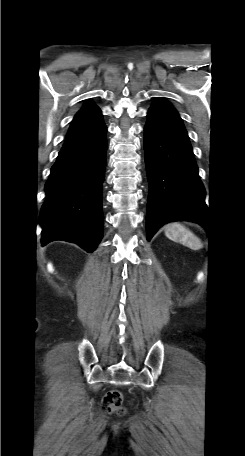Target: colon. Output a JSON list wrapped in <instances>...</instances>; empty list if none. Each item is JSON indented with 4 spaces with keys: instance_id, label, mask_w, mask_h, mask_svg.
Listing matches in <instances>:
<instances>
[{
    "instance_id": "5ec220e1",
    "label": "colon",
    "mask_w": 245,
    "mask_h": 456,
    "mask_svg": "<svg viewBox=\"0 0 245 456\" xmlns=\"http://www.w3.org/2000/svg\"><path fill=\"white\" fill-rule=\"evenodd\" d=\"M122 403V393L119 390H110L103 397L101 402V408L106 413H122Z\"/></svg>"
}]
</instances>
